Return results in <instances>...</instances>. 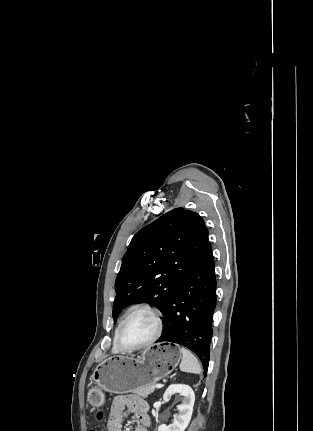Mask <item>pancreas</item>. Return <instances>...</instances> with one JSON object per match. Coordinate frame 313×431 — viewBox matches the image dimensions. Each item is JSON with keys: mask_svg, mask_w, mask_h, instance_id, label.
<instances>
[{"mask_svg": "<svg viewBox=\"0 0 313 431\" xmlns=\"http://www.w3.org/2000/svg\"><path fill=\"white\" fill-rule=\"evenodd\" d=\"M155 387L153 385H146L144 387L136 389L134 392L143 398L148 397L149 394L154 392Z\"/></svg>", "mask_w": 313, "mask_h": 431, "instance_id": "1", "label": "pancreas"}]
</instances>
